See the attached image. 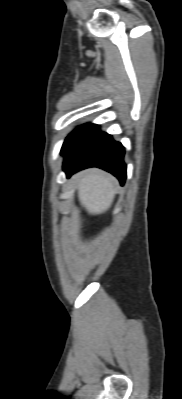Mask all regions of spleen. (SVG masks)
Returning a JSON list of instances; mask_svg holds the SVG:
<instances>
[{"mask_svg": "<svg viewBox=\"0 0 182 399\" xmlns=\"http://www.w3.org/2000/svg\"><path fill=\"white\" fill-rule=\"evenodd\" d=\"M115 185V179L102 171L85 172L78 177L79 201L89 213H103L113 202Z\"/></svg>", "mask_w": 182, "mask_h": 399, "instance_id": "3e777b00", "label": "spleen"}]
</instances>
